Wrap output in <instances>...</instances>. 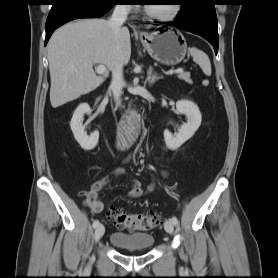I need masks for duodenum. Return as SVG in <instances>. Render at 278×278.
<instances>
[{
	"label": "duodenum",
	"instance_id": "duodenum-1",
	"mask_svg": "<svg viewBox=\"0 0 278 278\" xmlns=\"http://www.w3.org/2000/svg\"><path fill=\"white\" fill-rule=\"evenodd\" d=\"M140 122L136 115L129 113L119 123L118 133L123 143L132 141L138 134Z\"/></svg>",
	"mask_w": 278,
	"mask_h": 278
}]
</instances>
